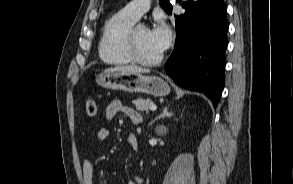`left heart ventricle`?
<instances>
[{"label":"left heart ventricle","mask_w":293,"mask_h":184,"mask_svg":"<svg viewBox=\"0 0 293 184\" xmlns=\"http://www.w3.org/2000/svg\"><path fill=\"white\" fill-rule=\"evenodd\" d=\"M135 41L137 51L141 57L145 59H152L160 55L161 52L152 42L147 28L140 27L137 29Z\"/></svg>","instance_id":"left-heart-ventricle-1"}]
</instances>
